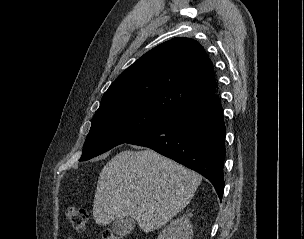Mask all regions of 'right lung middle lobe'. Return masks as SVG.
I'll use <instances>...</instances> for the list:
<instances>
[{"mask_svg": "<svg viewBox=\"0 0 304 239\" xmlns=\"http://www.w3.org/2000/svg\"><path fill=\"white\" fill-rule=\"evenodd\" d=\"M169 118L166 114L146 108H122L95 115L80 161L127 143Z\"/></svg>", "mask_w": 304, "mask_h": 239, "instance_id": "right-lung-middle-lobe-1", "label": "right lung middle lobe"}]
</instances>
